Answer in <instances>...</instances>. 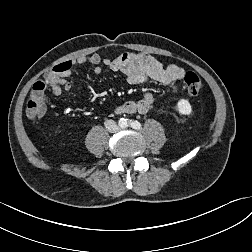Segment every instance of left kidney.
I'll list each match as a JSON object with an SVG mask.
<instances>
[{
	"label": "left kidney",
	"instance_id": "obj_1",
	"mask_svg": "<svg viewBox=\"0 0 252 252\" xmlns=\"http://www.w3.org/2000/svg\"><path fill=\"white\" fill-rule=\"evenodd\" d=\"M176 110L180 115H190L192 113V107L188 100L180 99L176 104Z\"/></svg>",
	"mask_w": 252,
	"mask_h": 252
}]
</instances>
